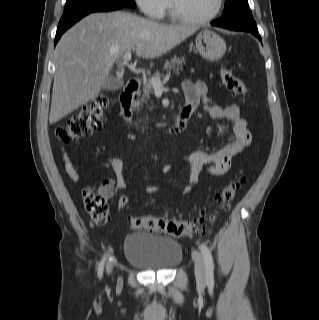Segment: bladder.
I'll list each match as a JSON object with an SVG mask.
<instances>
[{
	"mask_svg": "<svg viewBox=\"0 0 319 320\" xmlns=\"http://www.w3.org/2000/svg\"><path fill=\"white\" fill-rule=\"evenodd\" d=\"M128 263L146 271H166L178 266L183 258L180 243L170 236L130 233L124 241Z\"/></svg>",
	"mask_w": 319,
	"mask_h": 320,
	"instance_id": "bladder-1",
	"label": "bladder"
}]
</instances>
